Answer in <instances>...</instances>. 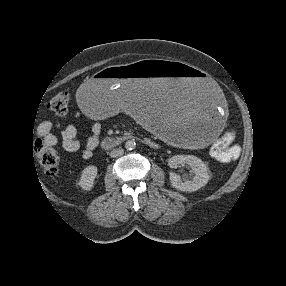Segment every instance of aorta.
I'll use <instances>...</instances> for the list:
<instances>
[{"instance_id":"obj_1","label":"aorta","mask_w":286,"mask_h":286,"mask_svg":"<svg viewBox=\"0 0 286 286\" xmlns=\"http://www.w3.org/2000/svg\"><path fill=\"white\" fill-rule=\"evenodd\" d=\"M125 147L127 150H133L135 149L136 147V143L134 140H128L126 143H125Z\"/></svg>"}]
</instances>
